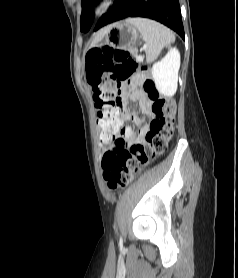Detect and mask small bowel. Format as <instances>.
<instances>
[{"label": "small bowel", "mask_w": 238, "mask_h": 278, "mask_svg": "<svg viewBox=\"0 0 238 278\" xmlns=\"http://www.w3.org/2000/svg\"><path fill=\"white\" fill-rule=\"evenodd\" d=\"M123 90L121 126L115 135L102 134L101 136L102 141L109 143L108 149H111L114 144H141L144 142L145 135L149 130L148 125H145L141 129L140 134L136 135L131 127L122 126L123 121H132L137 125L142 123L141 118L136 112L130 111L126 108L128 100L138 102L143 114L149 117L153 116L151 108L152 102L145 93L140 79H132L123 86Z\"/></svg>", "instance_id": "1"}]
</instances>
